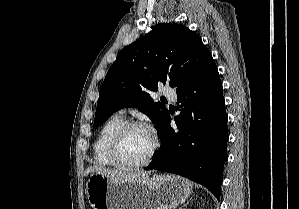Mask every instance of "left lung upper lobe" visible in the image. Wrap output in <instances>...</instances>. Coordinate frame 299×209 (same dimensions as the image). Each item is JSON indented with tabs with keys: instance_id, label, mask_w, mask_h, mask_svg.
<instances>
[{
	"instance_id": "left-lung-upper-lobe-1",
	"label": "left lung upper lobe",
	"mask_w": 299,
	"mask_h": 209,
	"mask_svg": "<svg viewBox=\"0 0 299 209\" xmlns=\"http://www.w3.org/2000/svg\"><path fill=\"white\" fill-rule=\"evenodd\" d=\"M211 58L199 35L184 25L154 26L145 37L123 48L109 68L99 93L95 126L121 108L138 107L160 127L168 110L148 92L156 91L158 82L171 87L185 84Z\"/></svg>"
}]
</instances>
